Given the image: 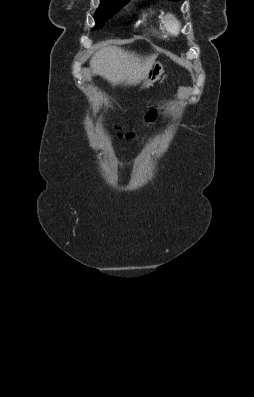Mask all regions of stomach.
Segmentation results:
<instances>
[{"mask_svg": "<svg viewBox=\"0 0 254 397\" xmlns=\"http://www.w3.org/2000/svg\"><path fill=\"white\" fill-rule=\"evenodd\" d=\"M164 73V67L160 62H153L150 69L147 72L146 77L144 78L143 85L141 89L149 88L153 85L157 80L160 79L161 75Z\"/></svg>", "mask_w": 254, "mask_h": 397, "instance_id": "0dacf381", "label": "stomach"}]
</instances>
